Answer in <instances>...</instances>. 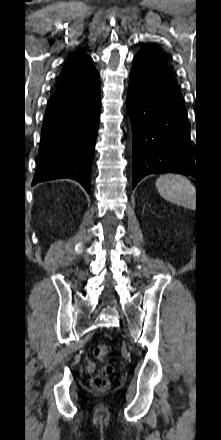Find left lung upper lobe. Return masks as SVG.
Returning a JSON list of instances; mask_svg holds the SVG:
<instances>
[{
	"label": "left lung upper lobe",
	"mask_w": 221,
	"mask_h": 440,
	"mask_svg": "<svg viewBox=\"0 0 221 440\" xmlns=\"http://www.w3.org/2000/svg\"><path fill=\"white\" fill-rule=\"evenodd\" d=\"M141 49H145V50H149L150 52H152L153 54H155L157 57H159L163 62L167 63L164 59V57L154 48H152L151 46H144Z\"/></svg>",
	"instance_id": "obj_1"
}]
</instances>
